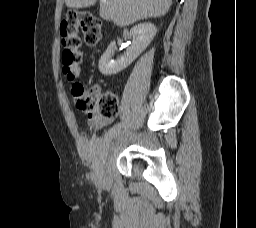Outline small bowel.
<instances>
[{"instance_id":"obj_1","label":"small bowel","mask_w":256,"mask_h":228,"mask_svg":"<svg viewBox=\"0 0 256 228\" xmlns=\"http://www.w3.org/2000/svg\"><path fill=\"white\" fill-rule=\"evenodd\" d=\"M93 91L97 94H100L101 92V87L99 85H94L93 86ZM111 122V119H105V118H100V117H95L89 121L90 126L93 129H100L107 124Z\"/></svg>"}]
</instances>
